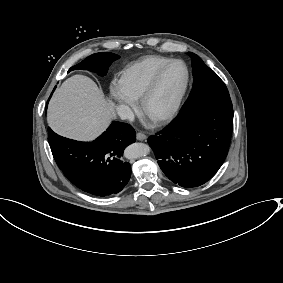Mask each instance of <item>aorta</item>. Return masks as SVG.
Segmentation results:
<instances>
[{
  "label": "aorta",
  "mask_w": 283,
  "mask_h": 283,
  "mask_svg": "<svg viewBox=\"0 0 283 283\" xmlns=\"http://www.w3.org/2000/svg\"><path fill=\"white\" fill-rule=\"evenodd\" d=\"M150 150L151 149L148 144L133 143L125 149L124 156L127 159H136L146 156L150 152Z\"/></svg>",
  "instance_id": "762f6f07"
}]
</instances>
